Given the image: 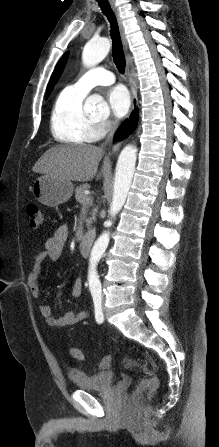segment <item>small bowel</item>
<instances>
[{
    "instance_id": "1",
    "label": "small bowel",
    "mask_w": 219,
    "mask_h": 447,
    "mask_svg": "<svg viewBox=\"0 0 219 447\" xmlns=\"http://www.w3.org/2000/svg\"><path fill=\"white\" fill-rule=\"evenodd\" d=\"M68 238V228L66 225L59 226L54 234L47 239L44 250L37 253L28 275V286L34 298L40 296V277L42 273L43 263L46 261L56 262L62 255L64 245ZM82 292V282L80 278H76L71 287L73 297H79ZM40 314L46 323L53 328H62L75 325L89 318L87 312L64 311L60 316H52L49 305H40Z\"/></svg>"
}]
</instances>
